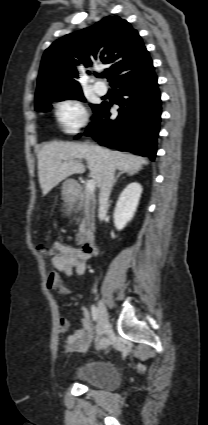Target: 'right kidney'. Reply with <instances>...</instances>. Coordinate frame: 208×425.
I'll return each mask as SVG.
<instances>
[{
	"label": "right kidney",
	"mask_w": 208,
	"mask_h": 425,
	"mask_svg": "<svg viewBox=\"0 0 208 425\" xmlns=\"http://www.w3.org/2000/svg\"><path fill=\"white\" fill-rule=\"evenodd\" d=\"M142 186L132 182L120 194L114 210V224L118 230H122L133 218L142 193Z\"/></svg>",
	"instance_id": "obj_1"
}]
</instances>
